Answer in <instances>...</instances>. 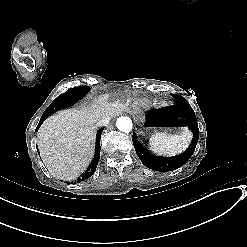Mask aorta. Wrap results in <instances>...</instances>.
Listing matches in <instances>:
<instances>
[{
  "label": "aorta",
  "instance_id": "obj_1",
  "mask_svg": "<svg viewBox=\"0 0 247 247\" xmlns=\"http://www.w3.org/2000/svg\"><path fill=\"white\" fill-rule=\"evenodd\" d=\"M117 128L125 133H129L132 130V120L129 117L121 116L116 121Z\"/></svg>",
  "mask_w": 247,
  "mask_h": 247
}]
</instances>
